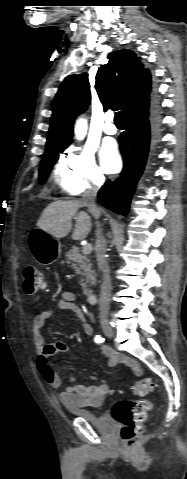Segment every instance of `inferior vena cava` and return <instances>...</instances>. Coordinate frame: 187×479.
I'll use <instances>...</instances> for the list:
<instances>
[{
  "label": "inferior vena cava",
  "instance_id": "602c4592",
  "mask_svg": "<svg viewBox=\"0 0 187 479\" xmlns=\"http://www.w3.org/2000/svg\"><path fill=\"white\" fill-rule=\"evenodd\" d=\"M102 182H96V185L86 190L81 198V204L88 208V211L94 216L95 219L100 217V209L95 203L98 188ZM96 260L99 270L102 273L103 282L101 284V292L99 299V317L106 319L110 310L111 301V278L110 270L105 257L106 254V240L102 234V229L97 225L96 229V241H95Z\"/></svg>",
  "mask_w": 187,
  "mask_h": 479
}]
</instances>
